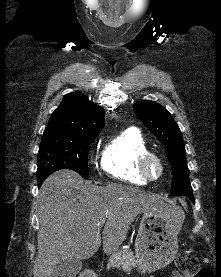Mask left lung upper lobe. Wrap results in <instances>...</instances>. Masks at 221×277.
Segmentation results:
<instances>
[{
	"label": "left lung upper lobe",
	"instance_id": "1",
	"mask_svg": "<svg viewBox=\"0 0 221 277\" xmlns=\"http://www.w3.org/2000/svg\"><path fill=\"white\" fill-rule=\"evenodd\" d=\"M133 109L140 120L165 146V152L172 165L173 173L170 194L174 196L192 194L184 141L172 115L154 101H139L133 105Z\"/></svg>",
	"mask_w": 221,
	"mask_h": 277
}]
</instances>
